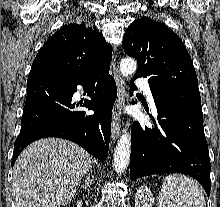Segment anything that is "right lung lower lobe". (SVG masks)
<instances>
[{
	"mask_svg": "<svg viewBox=\"0 0 220 207\" xmlns=\"http://www.w3.org/2000/svg\"><path fill=\"white\" fill-rule=\"evenodd\" d=\"M109 69V64H101L81 77L53 73L29 75L12 166L28 144L45 137L73 141L103 162L108 155L111 114L117 97L116 83ZM77 85L89 88L91 100H86L83 106L94 110L93 115L76 109L79 104L72 97Z\"/></svg>",
	"mask_w": 220,
	"mask_h": 207,
	"instance_id": "1",
	"label": "right lung lower lobe"
}]
</instances>
